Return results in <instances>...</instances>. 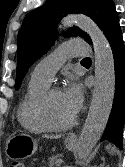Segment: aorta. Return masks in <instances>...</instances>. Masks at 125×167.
<instances>
[{"mask_svg":"<svg viewBox=\"0 0 125 167\" xmlns=\"http://www.w3.org/2000/svg\"><path fill=\"white\" fill-rule=\"evenodd\" d=\"M73 22L89 34L95 54L93 97L78 141V160L84 163L106 127L114 98L115 70L112 49L98 26L83 15L68 16L63 20L64 26Z\"/></svg>","mask_w":125,"mask_h":167,"instance_id":"762f6f07","label":"aorta"}]
</instances>
